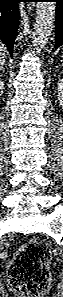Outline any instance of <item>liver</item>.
Instances as JSON below:
<instances>
[{
  "label": "liver",
  "mask_w": 63,
  "mask_h": 297,
  "mask_svg": "<svg viewBox=\"0 0 63 297\" xmlns=\"http://www.w3.org/2000/svg\"><path fill=\"white\" fill-rule=\"evenodd\" d=\"M6 48L3 44H0V65H3L5 62V56H6Z\"/></svg>",
  "instance_id": "1"
}]
</instances>
